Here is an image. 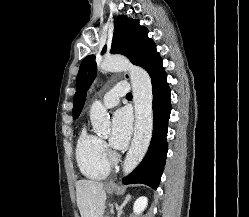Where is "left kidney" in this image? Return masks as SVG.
Wrapping results in <instances>:
<instances>
[{"instance_id":"left-kidney-1","label":"left kidney","mask_w":249,"mask_h":217,"mask_svg":"<svg viewBox=\"0 0 249 217\" xmlns=\"http://www.w3.org/2000/svg\"><path fill=\"white\" fill-rule=\"evenodd\" d=\"M148 204V199L145 196H140L137 198V200L134 202L133 205V211L135 214H140L145 210Z\"/></svg>"}]
</instances>
